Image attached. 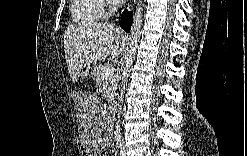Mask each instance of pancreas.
Instances as JSON below:
<instances>
[{"label": "pancreas", "instance_id": "obj_1", "mask_svg": "<svg viewBox=\"0 0 247 156\" xmlns=\"http://www.w3.org/2000/svg\"><path fill=\"white\" fill-rule=\"evenodd\" d=\"M108 67H110L108 64L97 67L96 83L104 89L106 96L109 98V101H111L117 84L114 75L108 77L105 75V69Z\"/></svg>", "mask_w": 247, "mask_h": 156}]
</instances>
